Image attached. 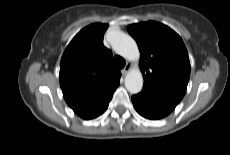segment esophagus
I'll return each mask as SVG.
<instances>
[{"label": "esophagus", "instance_id": "esophagus-1", "mask_svg": "<svg viewBox=\"0 0 230 155\" xmlns=\"http://www.w3.org/2000/svg\"><path fill=\"white\" fill-rule=\"evenodd\" d=\"M132 68V63L127 62L126 66L122 69V73L126 74Z\"/></svg>", "mask_w": 230, "mask_h": 155}]
</instances>
